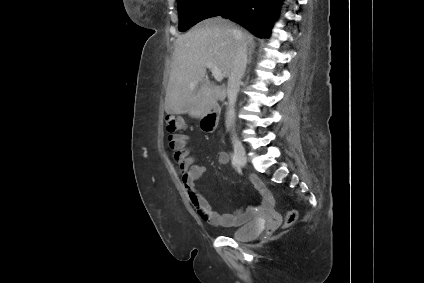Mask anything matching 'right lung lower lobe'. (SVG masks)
Segmentation results:
<instances>
[{
	"label": "right lung lower lobe",
	"mask_w": 424,
	"mask_h": 283,
	"mask_svg": "<svg viewBox=\"0 0 424 283\" xmlns=\"http://www.w3.org/2000/svg\"><path fill=\"white\" fill-rule=\"evenodd\" d=\"M280 0H235L218 16L230 19L259 38L268 37L279 10Z\"/></svg>",
	"instance_id": "obj_1"
}]
</instances>
